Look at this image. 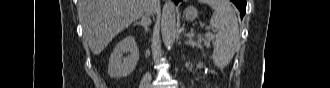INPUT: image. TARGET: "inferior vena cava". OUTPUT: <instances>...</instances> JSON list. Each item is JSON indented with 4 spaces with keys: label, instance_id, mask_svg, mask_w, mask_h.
Here are the masks:
<instances>
[{
    "label": "inferior vena cava",
    "instance_id": "1",
    "mask_svg": "<svg viewBox=\"0 0 330 88\" xmlns=\"http://www.w3.org/2000/svg\"><path fill=\"white\" fill-rule=\"evenodd\" d=\"M151 3L149 4L147 10H146V14L147 16L151 15L153 13V11L155 10L154 9V6H153V0L150 1Z\"/></svg>",
    "mask_w": 330,
    "mask_h": 88
}]
</instances>
